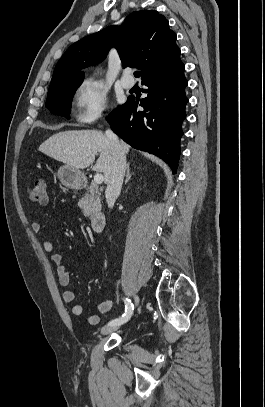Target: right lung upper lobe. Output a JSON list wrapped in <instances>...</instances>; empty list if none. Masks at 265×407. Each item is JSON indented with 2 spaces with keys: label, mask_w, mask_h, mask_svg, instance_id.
<instances>
[{
  "label": "right lung upper lobe",
  "mask_w": 265,
  "mask_h": 407,
  "mask_svg": "<svg viewBox=\"0 0 265 407\" xmlns=\"http://www.w3.org/2000/svg\"><path fill=\"white\" fill-rule=\"evenodd\" d=\"M113 46L123 66L140 69L142 78L180 52L176 34L164 16L154 10L137 11L127 17L123 26H109L72 44L58 61L51 85L83 82L80 70L101 62Z\"/></svg>",
  "instance_id": "1"
}]
</instances>
